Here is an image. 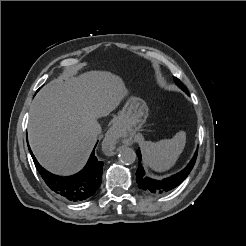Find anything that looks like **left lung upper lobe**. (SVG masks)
Instances as JSON below:
<instances>
[{
    "label": "left lung upper lobe",
    "mask_w": 246,
    "mask_h": 246,
    "mask_svg": "<svg viewBox=\"0 0 246 246\" xmlns=\"http://www.w3.org/2000/svg\"><path fill=\"white\" fill-rule=\"evenodd\" d=\"M175 82H176V84H177L183 91H185V92L188 94V90L186 89V87L182 84V82H181L179 79L175 78Z\"/></svg>",
    "instance_id": "1"
}]
</instances>
